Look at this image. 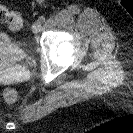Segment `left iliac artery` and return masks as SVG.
Listing matches in <instances>:
<instances>
[{"instance_id":"1","label":"left iliac artery","mask_w":133,"mask_h":133,"mask_svg":"<svg viewBox=\"0 0 133 133\" xmlns=\"http://www.w3.org/2000/svg\"><path fill=\"white\" fill-rule=\"evenodd\" d=\"M38 20L43 23L45 22L46 18L44 16H40Z\"/></svg>"}]
</instances>
